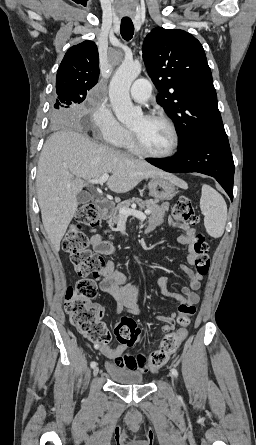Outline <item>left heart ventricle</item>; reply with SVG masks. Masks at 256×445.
Listing matches in <instances>:
<instances>
[{
	"label": "left heart ventricle",
	"mask_w": 256,
	"mask_h": 445,
	"mask_svg": "<svg viewBox=\"0 0 256 445\" xmlns=\"http://www.w3.org/2000/svg\"><path fill=\"white\" fill-rule=\"evenodd\" d=\"M140 138L143 146L153 153H164L169 150L172 143V134L169 127L157 120H147L143 117L137 119L131 126Z\"/></svg>",
	"instance_id": "obj_1"
}]
</instances>
